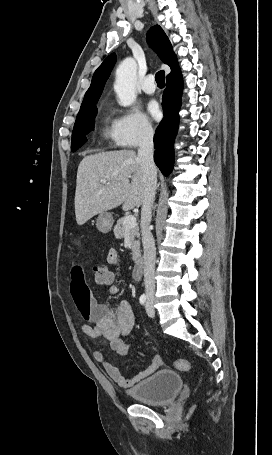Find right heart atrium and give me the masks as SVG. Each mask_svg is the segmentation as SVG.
<instances>
[{
    "mask_svg": "<svg viewBox=\"0 0 272 455\" xmlns=\"http://www.w3.org/2000/svg\"><path fill=\"white\" fill-rule=\"evenodd\" d=\"M114 142L121 147L133 148L149 141L153 127L148 117L136 109L118 110L112 123Z\"/></svg>",
    "mask_w": 272,
    "mask_h": 455,
    "instance_id": "obj_1",
    "label": "right heart atrium"
}]
</instances>
